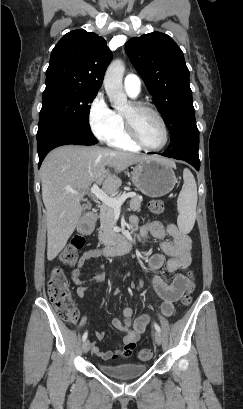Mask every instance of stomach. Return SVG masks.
Wrapping results in <instances>:
<instances>
[{"label":"stomach","mask_w":243,"mask_h":409,"mask_svg":"<svg viewBox=\"0 0 243 409\" xmlns=\"http://www.w3.org/2000/svg\"><path fill=\"white\" fill-rule=\"evenodd\" d=\"M132 182L144 195L152 198L171 192L177 182L173 163L161 157H150L133 167Z\"/></svg>","instance_id":"0dacf381"}]
</instances>
